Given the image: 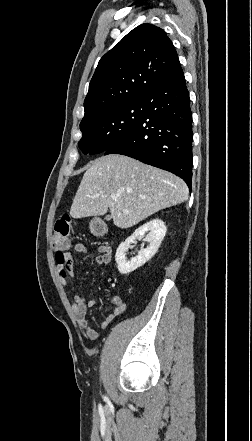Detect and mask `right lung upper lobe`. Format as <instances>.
<instances>
[{
    "mask_svg": "<svg viewBox=\"0 0 252 441\" xmlns=\"http://www.w3.org/2000/svg\"><path fill=\"white\" fill-rule=\"evenodd\" d=\"M179 65L163 29L148 23L137 26L100 59L84 101L82 121L140 99Z\"/></svg>",
    "mask_w": 252,
    "mask_h": 441,
    "instance_id": "cb5924a9",
    "label": "right lung upper lobe"
}]
</instances>
